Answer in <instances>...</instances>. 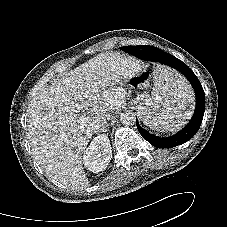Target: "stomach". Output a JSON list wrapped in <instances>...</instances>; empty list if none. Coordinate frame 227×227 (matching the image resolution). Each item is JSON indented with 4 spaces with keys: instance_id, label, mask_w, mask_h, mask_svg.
<instances>
[{
    "instance_id": "0dacf381",
    "label": "stomach",
    "mask_w": 227,
    "mask_h": 227,
    "mask_svg": "<svg viewBox=\"0 0 227 227\" xmlns=\"http://www.w3.org/2000/svg\"><path fill=\"white\" fill-rule=\"evenodd\" d=\"M110 91L114 94H119V95L122 93V90L119 87H113L110 89Z\"/></svg>"
}]
</instances>
